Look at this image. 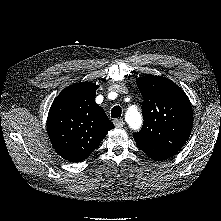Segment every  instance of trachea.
Here are the masks:
<instances>
[{
  "label": "trachea",
  "instance_id": "1",
  "mask_svg": "<svg viewBox=\"0 0 221 221\" xmlns=\"http://www.w3.org/2000/svg\"><path fill=\"white\" fill-rule=\"evenodd\" d=\"M122 109L120 106H114L111 110V117L112 118H119L121 116Z\"/></svg>",
  "mask_w": 221,
  "mask_h": 221
}]
</instances>
